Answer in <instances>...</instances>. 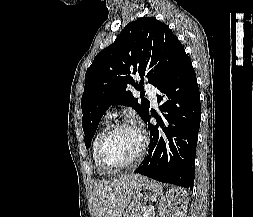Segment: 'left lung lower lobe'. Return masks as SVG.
<instances>
[{
    "instance_id": "1",
    "label": "left lung lower lobe",
    "mask_w": 253,
    "mask_h": 217,
    "mask_svg": "<svg viewBox=\"0 0 253 217\" xmlns=\"http://www.w3.org/2000/svg\"><path fill=\"white\" fill-rule=\"evenodd\" d=\"M162 95V114L151 115L157 125L150 124V112L143 119L150 130L149 152L134 171L160 182L193 189L194 163L200 127V95L195 71L186 53L156 86ZM150 124V125H149Z\"/></svg>"
}]
</instances>
